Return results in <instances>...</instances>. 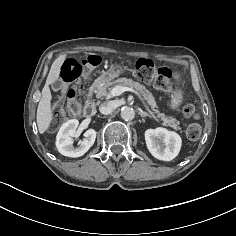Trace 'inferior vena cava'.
I'll return each instance as SVG.
<instances>
[{"label": "inferior vena cava", "mask_w": 236, "mask_h": 236, "mask_svg": "<svg viewBox=\"0 0 236 236\" xmlns=\"http://www.w3.org/2000/svg\"><path fill=\"white\" fill-rule=\"evenodd\" d=\"M114 110L112 102H104L99 106V111L103 115L111 114Z\"/></svg>", "instance_id": "inferior-vena-cava-1"}]
</instances>
